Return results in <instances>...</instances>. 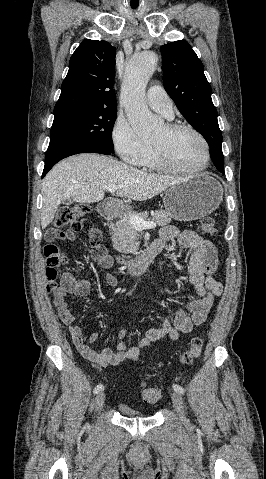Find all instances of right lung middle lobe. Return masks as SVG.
Masks as SVG:
<instances>
[{"label":"right lung middle lobe","mask_w":266,"mask_h":479,"mask_svg":"<svg viewBox=\"0 0 266 479\" xmlns=\"http://www.w3.org/2000/svg\"><path fill=\"white\" fill-rule=\"evenodd\" d=\"M117 110H70L54 113L51 140L61 139L114 151L112 129Z\"/></svg>","instance_id":"dd1d6c3e"}]
</instances>
